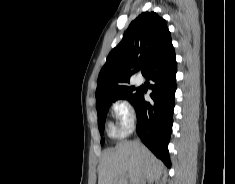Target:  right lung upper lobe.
Listing matches in <instances>:
<instances>
[{
    "mask_svg": "<svg viewBox=\"0 0 235 184\" xmlns=\"http://www.w3.org/2000/svg\"><path fill=\"white\" fill-rule=\"evenodd\" d=\"M174 52L166 21L155 12H144L131 22L122 41L109 53L97 81L96 107L111 103V91L127 86L142 64V74Z\"/></svg>",
    "mask_w": 235,
    "mask_h": 184,
    "instance_id": "cb5924a9",
    "label": "right lung upper lobe"
}]
</instances>
